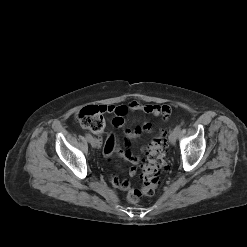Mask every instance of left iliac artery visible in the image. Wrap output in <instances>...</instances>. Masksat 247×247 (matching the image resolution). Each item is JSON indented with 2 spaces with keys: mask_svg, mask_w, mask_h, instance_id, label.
Listing matches in <instances>:
<instances>
[{
  "mask_svg": "<svg viewBox=\"0 0 247 247\" xmlns=\"http://www.w3.org/2000/svg\"><path fill=\"white\" fill-rule=\"evenodd\" d=\"M175 130H176L177 132H180V131H181V126H180V125L176 126V127H175Z\"/></svg>",
  "mask_w": 247,
  "mask_h": 247,
  "instance_id": "left-iliac-artery-1",
  "label": "left iliac artery"
}]
</instances>
